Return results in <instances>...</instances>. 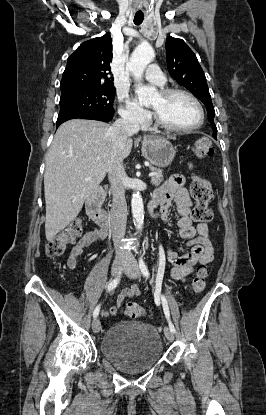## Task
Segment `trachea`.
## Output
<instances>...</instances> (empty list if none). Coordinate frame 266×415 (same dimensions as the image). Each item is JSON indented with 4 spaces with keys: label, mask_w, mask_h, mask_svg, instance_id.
<instances>
[{
    "label": "trachea",
    "mask_w": 266,
    "mask_h": 415,
    "mask_svg": "<svg viewBox=\"0 0 266 415\" xmlns=\"http://www.w3.org/2000/svg\"><path fill=\"white\" fill-rule=\"evenodd\" d=\"M144 20V16L143 15H135L134 17V24L136 25H140Z\"/></svg>",
    "instance_id": "3493384b"
}]
</instances>
